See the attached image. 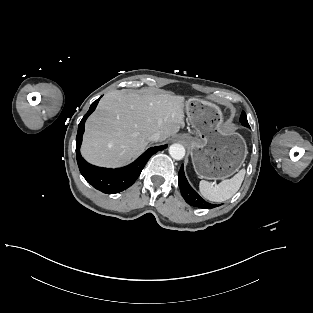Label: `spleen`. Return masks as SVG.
Listing matches in <instances>:
<instances>
[{
  "instance_id": "obj_1",
  "label": "spleen",
  "mask_w": 313,
  "mask_h": 313,
  "mask_svg": "<svg viewBox=\"0 0 313 313\" xmlns=\"http://www.w3.org/2000/svg\"><path fill=\"white\" fill-rule=\"evenodd\" d=\"M245 173V169H241L231 179L223 180L215 186L208 181L201 180L199 183L200 193L205 199L212 202H224L230 199L239 190Z\"/></svg>"
}]
</instances>
